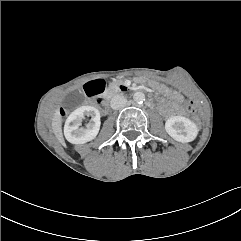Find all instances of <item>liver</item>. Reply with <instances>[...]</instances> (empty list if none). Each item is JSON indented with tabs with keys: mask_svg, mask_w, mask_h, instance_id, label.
Returning a JSON list of instances; mask_svg holds the SVG:
<instances>
[{
	"mask_svg": "<svg viewBox=\"0 0 241 241\" xmlns=\"http://www.w3.org/2000/svg\"><path fill=\"white\" fill-rule=\"evenodd\" d=\"M52 127H53L54 133L56 135H58L59 137H61V135H62V132H61V116H60L58 111L53 118Z\"/></svg>",
	"mask_w": 241,
	"mask_h": 241,
	"instance_id": "liver-1",
	"label": "liver"
}]
</instances>
